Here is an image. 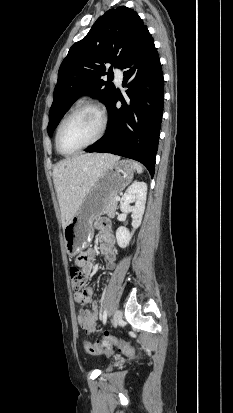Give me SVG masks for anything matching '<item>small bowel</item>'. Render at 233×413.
I'll return each instance as SVG.
<instances>
[{"instance_id": "small-bowel-1", "label": "small bowel", "mask_w": 233, "mask_h": 413, "mask_svg": "<svg viewBox=\"0 0 233 413\" xmlns=\"http://www.w3.org/2000/svg\"><path fill=\"white\" fill-rule=\"evenodd\" d=\"M98 226L101 228L99 234L100 252L105 257L107 269L112 272L115 268L116 262V250L115 240L110 232L106 222H99ZM94 256V252L88 249H81L78 253L76 260L78 266L82 268L85 275L91 274L93 270V263L91 261ZM93 290L86 288L82 291L74 293V300L79 304H86L91 301ZM99 318V305L97 302H91L90 309L80 310L77 314V323L86 332L91 333L96 330L97 321Z\"/></svg>"}]
</instances>
